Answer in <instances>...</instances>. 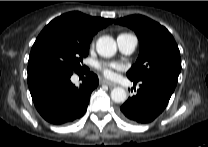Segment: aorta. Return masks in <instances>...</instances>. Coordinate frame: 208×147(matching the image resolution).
Returning <instances> with one entry per match:
<instances>
[{
	"instance_id": "aorta-1",
	"label": "aorta",
	"mask_w": 208,
	"mask_h": 147,
	"mask_svg": "<svg viewBox=\"0 0 208 147\" xmlns=\"http://www.w3.org/2000/svg\"><path fill=\"white\" fill-rule=\"evenodd\" d=\"M96 50L102 57H112L117 52L115 40L110 36H102L96 42ZM111 99L115 103H123L127 99L126 91L121 87H116L111 91Z\"/></svg>"
}]
</instances>
